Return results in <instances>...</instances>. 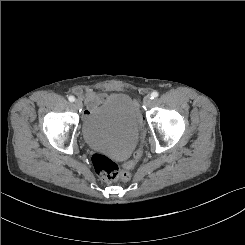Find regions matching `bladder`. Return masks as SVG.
Segmentation results:
<instances>
[{"mask_svg": "<svg viewBox=\"0 0 245 245\" xmlns=\"http://www.w3.org/2000/svg\"><path fill=\"white\" fill-rule=\"evenodd\" d=\"M91 148L115 157L128 156L139 137V116L134 100L125 93H113L86 116L81 128Z\"/></svg>", "mask_w": 245, "mask_h": 245, "instance_id": "bladder-1", "label": "bladder"}]
</instances>
